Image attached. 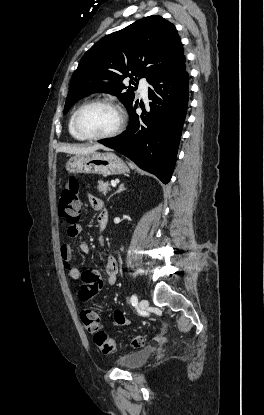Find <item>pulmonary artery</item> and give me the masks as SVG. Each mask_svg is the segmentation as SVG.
Segmentation results:
<instances>
[{
  "label": "pulmonary artery",
  "instance_id": "obj_1",
  "mask_svg": "<svg viewBox=\"0 0 264 415\" xmlns=\"http://www.w3.org/2000/svg\"><path fill=\"white\" fill-rule=\"evenodd\" d=\"M138 90H139V93L142 97H145L147 95V93H148V84L145 80H140L139 81Z\"/></svg>",
  "mask_w": 264,
  "mask_h": 415
}]
</instances>
